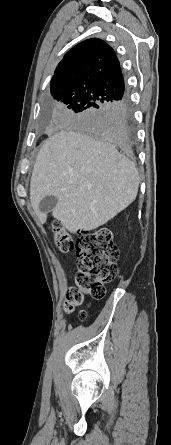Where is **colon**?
<instances>
[{"label":"colon","instance_id":"5ec220e1","mask_svg":"<svg viewBox=\"0 0 171 445\" xmlns=\"http://www.w3.org/2000/svg\"><path fill=\"white\" fill-rule=\"evenodd\" d=\"M55 245L59 252L67 254L74 249L77 254L78 272L75 287L68 290L64 309L72 312L83 304L84 297L102 299L106 294L105 283L112 281L117 273L116 260L119 256L112 234L107 229H99L83 234L74 242L59 227L55 230ZM82 317L86 314L81 313Z\"/></svg>","mask_w":171,"mask_h":445}]
</instances>
